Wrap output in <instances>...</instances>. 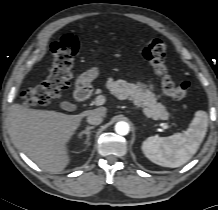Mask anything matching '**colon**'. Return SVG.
Wrapping results in <instances>:
<instances>
[{
	"label": "colon",
	"mask_w": 218,
	"mask_h": 210,
	"mask_svg": "<svg viewBox=\"0 0 218 210\" xmlns=\"http://www.w3.org/2000/svg\"><path fill=\"white\" fill-rule=\"evenodd\" d=\"M78 40L73 35H66L55 42L54 64L50 74L37 86L22 93V99L30 105H44L58 98L70 83L74 57L78 52ZM143 58L150 64L153 72L160 78L163 92L181 101L188 97L190 84L175 83L165 65L166 46L158 38H151L142 52Z\"/></svg>",
	"instance_id": "1"
}]
</instances>
